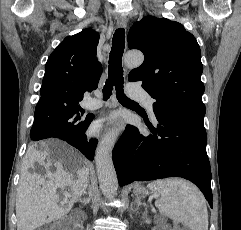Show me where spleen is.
I'll return each instance as SVG.
<instances>
[{
  "label": "spleen",
  "instance_id": "obj_1",
  "mask_svg": "<svg viewBox=\"0 0 241 230\" xmlns=\"http://www.w3.org/2000/svg\"><path fill=\"white\" fill-rule=\"evenodd\" d=\"M163 216L181 222L190 230H208V212L202 193L182 179L157 180L148 184Z\"/></svg>",
  "mask_w": 241,
  "mask_h": 230
}]
</instances>
